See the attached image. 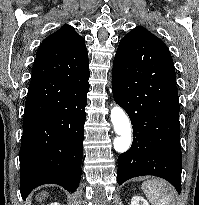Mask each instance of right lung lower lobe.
Returning a JSON list of instances; mask_svg holds the SVG:
<instances>
[{
  "label": "right lung lower lobe",
  "instance_id": "obj_1",
  "mask_svg": "<svg viewBox=\"0 0 199 205\" xmlns=\"http://www.w3.org/2000/svg\"><path fill=\"white\" fill-rule=\"evenodd\" d=\"M89 74L68 78L58 94L46 82H30L20 148V192L25 200L43 184H57L74 192L81 179L85 106Z\"/></svg>",
  "mask_w": 199,
  "mask_h": 205
}]
</instances>
